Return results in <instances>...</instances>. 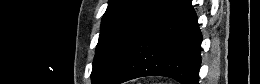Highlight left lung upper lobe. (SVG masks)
Listing matches in <instances>:
<instances>
[{"instance_id": "left-lung-upper-lobe-1", "label": "left lung upper lobe", "mask_w": 260, "mask_h": 84, "mask_svg": "<svg viewBox=\"0 0 260 84\" xmlns=\"http://www.w3.org/2000/svg\"><path fill=\"white\" fill-rule=\"evenodd\" d=\"M159 0H109L91 73L92 84H103L117 58Z\"/></svg>"}]
</instances>
